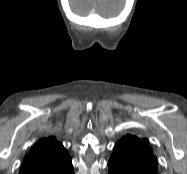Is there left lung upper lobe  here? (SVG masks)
<instances>
[{"label": "left lung upper lobe", "instance_id": "5c2ea615", "mask_svg": "<svg viewBox=\"0 0 187 174\" xmlns=\"http://www.w3.org/2000/svg\"><path fill=\"white\" fill-rule=\"evenodd\" d=\"M109 164L132 168L135 173L136 169H141L151 174H158L157 158L149 147V141L129 134L116 143Z\"/></svg>", "mask_w": 187, "mask_h": 174}]
</instances>
